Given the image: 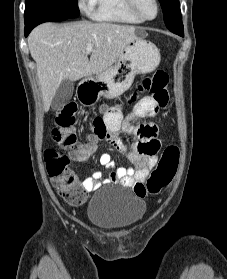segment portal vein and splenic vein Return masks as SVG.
Instances as JSON below:
<instances>
[{
    "label": "portal vein and splenic vein",
    "instance_id": "obj_1",
    "mask_svg": "<svg viewBox=\"0 0 227 279\" xmlns=\"http://www.w3.org/2000/svg\"><path fill=\"white\" fill-rule=\"evenodd\" d=\"M91 51H93V45L89 44V45H87V47H86V52H87V53H90Z\"/></svg>",
    "mask_w": 227,
    "mask_h": 279
}]
</instances>
